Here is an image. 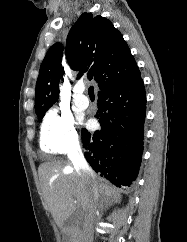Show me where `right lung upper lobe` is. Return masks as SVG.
<instances>
[{
	"instance_id": "obj_1",
	"label": "right lung upper lobe",
	"mask_w": 187,
	"mask_h": 242,
	"mask_svg": "<svg viewBox=\"0 0 187 242\" xmlns=\"http://www.w3.org/2000/svg\"><path fill=\"white\" fill-rule=\"evenodd\" d=\"M66 59L79 76L87 73L101 91L125 83L140 74L135 59L120 31L98 15L84 13L70 30ZM62 46L54 44L47 52L36 83L35 112H46L59 97ZM64 73V71H63Z\"/></svg>"
}]
</instances>
